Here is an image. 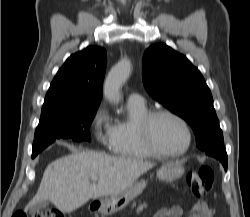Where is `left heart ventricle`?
Returning a JSON list of instances; mask_svg holds the SVG:
<instances>
[{
    "mask_svg": "<svg viewBox=\"0 0 250 217\" xmlns=\"http://www.w3.org/2000/svg\"><path fill=\"white\" fill-rule=\"evenodd\" d=\"M153 136L158 147L165 152L180 151L187 144L183 126L168 116L156 118L153 123Z\"/></svg>",
    "mask_w": 250,
    "mask_h": 217,
    "instance_id": "b2bd125f",
    "label": "left heart ventricle"
}]
</instances>
